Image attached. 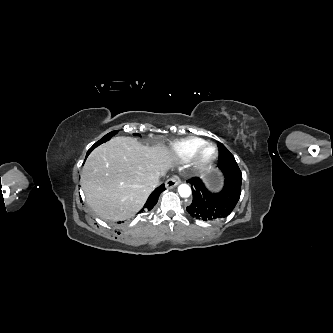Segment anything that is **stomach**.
Here are the masks:
<instances>
[{"instance_id":"1","label":"stomach","mask_w":333,"mask_h":333,"mask_svg":"<svg viewBox=\"0 0 333 333\" xmlns=\"http://www.w3.org/2000/svg\"><path fill=\"white\" fill-rule=\"evenodd\" d=\"M203 177L207 186L213 190H218L222 185V176L219 171L213 170L205 172Z\"/></svg>"}]
</instances>
